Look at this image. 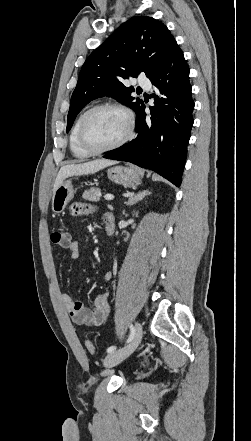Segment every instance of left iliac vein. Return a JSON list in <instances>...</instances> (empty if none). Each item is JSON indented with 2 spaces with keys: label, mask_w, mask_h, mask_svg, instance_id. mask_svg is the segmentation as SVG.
<instances>
[{
  "label": "left iliac vein",
  "mask_w": 251,
  "mask_h": 441,
  "mask_svg": "<svg viewBox=\"0 0 251 441\" xmlns=\"http://www.w3.org/2000/svg\"><path fill=\"white\" fill-rule=\"evenodd\" d=\"M143 336L142 325L139 322L135 324V335L133 340L125 347L109 353L103 360L106 368H112L131 355L139 346Z\"/></svg>",
  "instance_id": "left-iliac-vein-1"
}]
</instances>
